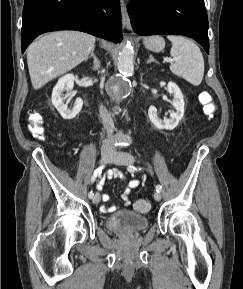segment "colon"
<instances>
[{
	"instance_id": "obj_1",
	"label": "colon",
	"mask_w": 243,
	"mask_h": 289,
	"mask_svg": "<svg viewBox=\"0 0 243 289\" xmlns=\"http://www.w3.org/2000/svg\"><path fill=\"white\" fill-rule=\"evenodd\" d=\"M200 101L203 104L205 114L212 116L216 111V106L211 94L208 92L201 93ZM28 130L35 137H42L44 135L43 117L38 112L30 113ZM150 208L151 205L146 200L140 199L134 202V209L140 213H146Z\"/></svg>"
}]
</instances>
